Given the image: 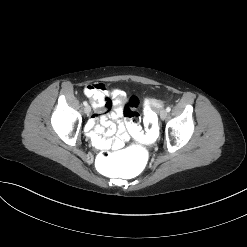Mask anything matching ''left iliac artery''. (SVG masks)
<instances>
[{
    "instance_id": "obj_1",
    "label": "left iliac artery",
    "mask_w": 247,
    "mask_h": 247,
    "mask_svg": "<svg viewBox=\"0 0 247 247\" xmlns=\"http://www.w3.org/2000/svg\"><path fill=\"white\" fill-rule=\"evenodd\" d=\"M166 111H167V112H170V111H171V108H170V107H167V108H166Z\"/></svg>"
}]
</instances>
